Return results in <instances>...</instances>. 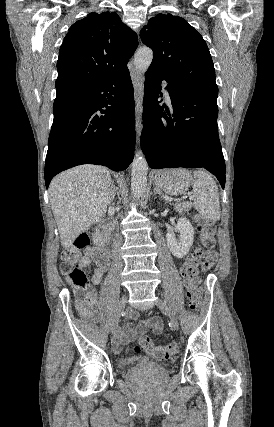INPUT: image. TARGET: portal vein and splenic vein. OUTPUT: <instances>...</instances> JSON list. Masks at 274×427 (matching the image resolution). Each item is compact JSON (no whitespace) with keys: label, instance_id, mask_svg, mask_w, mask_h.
<instances>
[{"label":"portal vein and splenic vein","instance_id":"18ae733b","mask_svg":"<svg viewBox=\"0 0 274 427\" xmlns=\"http://www.w3.org/2000/svg\"><path fill=\"white\" fill-rule=\"evenodd\" d=\"M189 200H192L191 196H190Z\"/></svg>","mask_w":274,"mask_h":427}]
</instances>
